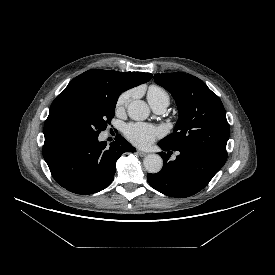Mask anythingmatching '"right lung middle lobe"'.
Here are the masks:
<instances>
[{
	"instance_id": "right-lung-middle-lobe-1",
	"label": "right lung middle lobe",
	"mask_w": 275,
	"mask_h": 275,
	"mask_svg": "<svg viewBox=\"0 0 275 275\" xmlns=\"http://www.w3.org/2000/svg\"><path fill=\"white\" fill-rule=\"evenodd\" d=\"M120 94L81 89L56 98L44 125V133L97 137L111 123Z\"/></svg>"
}]
</instances>
